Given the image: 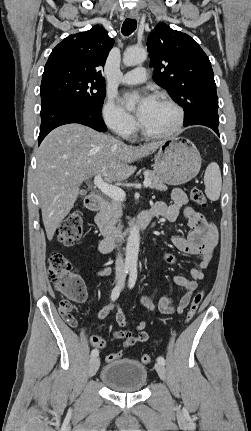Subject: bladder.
<instances>
[{"label":"bladder","instance_id":"31cf9c89","mask_svg":"<svg viewBox=\"0 0 251 431\" xmlns=\"http://www.w3.org/2000/svg\"><path fill=\"white\" fill-rule=\"evenodd\" d=\"M147 369L139 361L121 358L106 364L100 373L101 381L117 392L140 391L147 383Z\"/></svg>","mask_w":251,"mask_h":431}]
</instances>
